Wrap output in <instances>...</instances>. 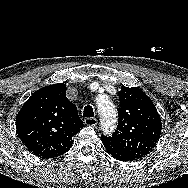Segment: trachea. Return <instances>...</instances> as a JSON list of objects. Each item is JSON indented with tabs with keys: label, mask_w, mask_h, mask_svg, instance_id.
Returning <instances> with one entry per match:
<instances>
[{
	"label": "trachea",
	"mask_w": 188,
	"mask_h": 188,
	"mask_svg": "<svg viewBox=\"0 0 188 188\" xmlns=\"http://www.w3.org/2000/svg\"><path fill=\"white\" fill-rule=\"evenodd\" d=\"M94 116V112H93V108L90 105L85 106L84 110H83V117H93Z\"/></svg>",
	"instance_id": "3493384b"
}]
</instances>
